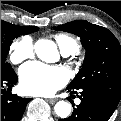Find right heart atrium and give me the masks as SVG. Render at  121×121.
Segmentation results:
<instances>
[{
  "mask_svg": "<svg viewBox=\"0 0 121 121\" xmlns=\"http://www.w3.org/2000/svg\"><path fill=\"white\" fill-rule=\"evenodd\" d=\"M33 52V41L29 37L19 38L10 47V59L14 64H19L30 58Z\"/></svg>",
  "mask_w": 121,
  "mask_h": 121,
  "instance_id": "d8ad5b80",
  "label": "right heart atrium"
}]
</instances>
